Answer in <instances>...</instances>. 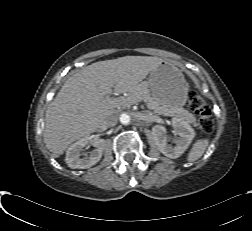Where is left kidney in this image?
Returning a JSON list of instances; mask_svg holds the SVG:
<instances>
[{"instance_id":"1","label":"left kidney","mask_w":252,"mask_h":231,"mask_svg":"<svg viewBox=\"0 0 252 231\" xmlns=\"http://www.w3.org/2000/svg\"><path fill=\"white\" fill-rule=\"evenodd\" d=\"M172 126L175 135L179 136L175 139L176 145L174 147L167 143L164 126L155 125L152 128V134L159 151L166 157L175 159L180 157L189 147L195 137V131L186 121L179 118L172 119Z\"/></svg>"}]
</instances>
